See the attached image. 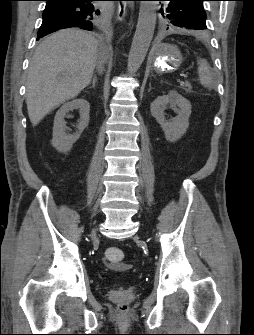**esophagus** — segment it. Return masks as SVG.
Listing matches in <instances>:
<instances>
[{"label": "esophagus", "mask_w": 254, "mask_h": 335, "mask_svg": "<svg viewBox=\"0 0 254 335\" xmlns=\"http://www.w3.org/2000/svg\"><path fill=\"white\" fill-rule=\"evenodd\" d=\"M126 4L119 7V10L117 12V19L119 21H123L126 15Z\"/></svg>", "instance_id": "esophagus-1"}]
</instances>
